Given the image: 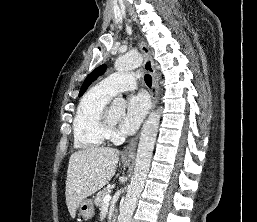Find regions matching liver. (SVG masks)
Returning <instances> with one entry per match:
<instances>
[{
	"mask_svg": "<svg viewBox=\"0 0 257 222\" xmlns=\"http://www.w3.org/2000/svg\"><path fill=\"white\" fill-rule=\"evenodd\" d=\"M119 151L87 148L70 156L66 177V205L72 218L80 202L103 188L114 176Z\"/></svg>",
	"mask_w": 257,
	"mask_h": 222,
	"instance_id": "1",
	"label": "liver"
}]
</instances>
